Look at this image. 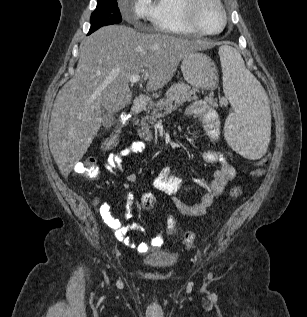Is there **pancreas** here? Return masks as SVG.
I'll return each mask as SVG.
<instances>
[{
    "instance_id": "1",
    "label": "pancreas",
    "mask_w": 307,
    "mask_h": 317,
    "mask_svg": "<svg viewBox=\"0 0 307 317\" xmlns=\"http://www.w3.org/2000/svg\"><path fill=\"white\" fill-rule=\"evenodd\" d=\"M198 90L185 83L173 84L165 93V98L159 100L154 108H149L147 116L142 117L138 135L144 138L145 141L153 139L149 124H153L157 118L169 114L176 110L178 106L185 102L195 100ZM151 110V111H150Z\"/></svg>"
}]
</instances>
